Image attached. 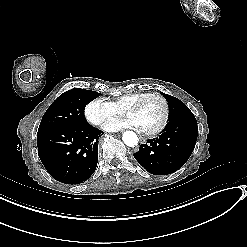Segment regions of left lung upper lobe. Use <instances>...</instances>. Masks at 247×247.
Instances as JSON below:
<instances>
[{
	"instance_id": "obj_1",
	"label": "left lung upper lobe",
	"mask_w": 247,
	"mask_h": 247,
	"mask_svg": "<svg viewBox=\"0 0 247 247\" xmlns=\"http://www.w3.org/2000/svg\"><path fill=\"white\" fill-rule=\"evenodd\" d=\"M162 95L169 104V122L167 126L176 125L178 123H197V120L189 108L179 99L168 94Z\"/></svg>"
}]
</instances>
